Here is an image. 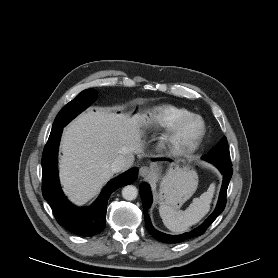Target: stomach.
<instances>
[{
  "label": "stomach",
  "instance_id": "0dacf381",
  "mask_svg": "<svg viewBox=\"0 0 278 278\" xmlns=\"http://www.w3.org/2000/svg\"><path fill=\"white\" fill-rule=\"evenodd\" d=\"M162 180L158 195L159 203L173 208L187 201L198 186V176L189 167L170 168Z\"/></svg>",
  "mask_w": 278,
  "mask_h": 278
}]
</instances>
